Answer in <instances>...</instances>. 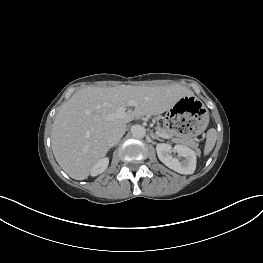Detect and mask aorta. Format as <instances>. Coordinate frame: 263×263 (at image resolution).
Returning a JSON list of instances; mask_svg holds the SVG:
<instances>
[{"mask_svg": "<svg viewBox=\"0 0 263 263\" xmlns=\"http://www.w3.org/2000/svg\"><path fill=\"white\" fill-rule=\"evenodd\" d=\"M131 134L134 138L141 139V138L145 137L146 130L141 125H134L131 127Z\"/></svg>", "mask_w": 263, "mask_h": 263, "instance_id": "obj_1", "label": "aorta"}]
</instances>
